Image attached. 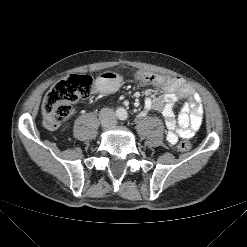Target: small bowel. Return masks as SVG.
I'll use <instances>...</instances> for the list:
<instances>
[{
  "label": "small bowel",
  "instance_id": "small-bowel-1",
  "mask_svg": "<svg viewBox=\"0 0 247 247\" xmlns=\"http://www.w3.org/2000/svg\"><path fill=\"white\" fill-rule=\"evenodd\" d=\"M164 90L162 95L145 98L143 113L151 110L160 112L167 127L166 139L169 143L176 144L179 138L193 137L200 128L203 117L200 97L189 84L179 78L169 80ZM182 97H188L189 101L181 106L176 116L174 107Z\"/></svg>",
  "mask_w": 247,
  "mask_h": 247
}]
</instances>
